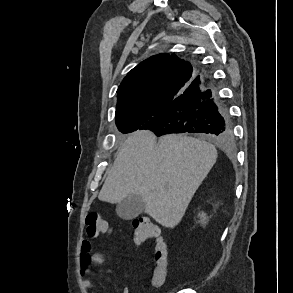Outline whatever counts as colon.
I'll return each instance as SVG.
<instances>
[{
	"label": "colon",
	"mask_w": 293,
	"mask_h": 293,
	"mask_svg": "<svg viewBox=\"0 0 293 293\" xmlns=\"http://www.w3.org/2000/svg\"><path fill=\"white\" fill-rule=\"evenodd\" d=\"M85 223L87 234L91 238H96L111 230L108 221L103 217L102 213L97 211L89 212L86 216ZM131 232L137 244L145 243L151 239L156 241L152 284L156 288L161 287L167 275L168 261L166 246L162 240L158 226L148 217H137L132 221Z\"/></svg>",
	"instance_id": "1"
}]
</instances>
